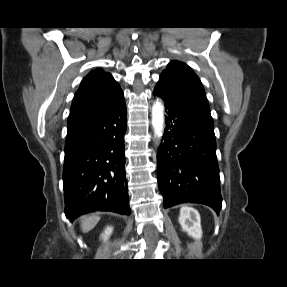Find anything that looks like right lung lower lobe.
I'll use <instances>...</instances> for the list:
<instances>
[{"label": "right lung lower lobe", "instance_id": "right-lung-lower-lobe-1", "mask_svg": "<svg viewBox=\"0 0 287 287\" xmlns=\"http://www.w3.org/2000/svg\"><path fill=\"white\" fill-rule=\"evenodd\" d=\"M126 105L68 122L63 186L65 215L94 211L130 214L125 181Z\"/></svg>", "mask_w": 287, "mask_h": 287}]
</instances>
